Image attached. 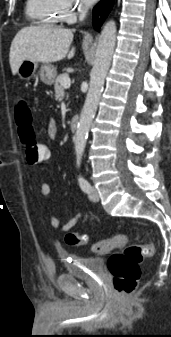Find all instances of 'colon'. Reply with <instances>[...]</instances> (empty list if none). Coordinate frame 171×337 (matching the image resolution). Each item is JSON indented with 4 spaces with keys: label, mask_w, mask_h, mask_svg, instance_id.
<instances>
[{
    "label": "colon",
    "mask_w": 171,
    "mask_h": 337,
    "mask_svg": "<svg viewBox=\"0 0 171 337\" xmlns=\"http://www.w3.org/2000/svg\"><path fill=\"white\" fill-rule=\"evenodd\" d=\"M15 119L19 138L24 147L26 162L29 165H36L43 161H50L53 149H49V144H44L42 140L36 138L31 111L25 100L18 102L15 109ZM65 240L69 245L81 246L87 243L88 237L85 234L68 232ZM127 242V235L120 233L111 238L99 240L92 246V250L96 254H106L117 247L124 246L122 251L113 253L108 260V269L113 277L115 291L122 297L129 296L135 291L141 275L139 264L154 250L152 243L127 245Z\"/></svg>",
    "instance_id": "1"
}]
</instances>
